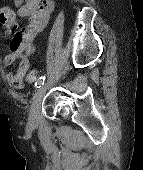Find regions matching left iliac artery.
<instances>
[{"label":"left iliac artery","instance_id":"44dca946","mask_svg":"<svg viewBox=\"0 0 143 170\" xmlns=\"http://www.w3.org/2000/svg\"><path fill=\"white\" fill-rule=\"evenodd\" d=\"M46 76H41L35 83L36 88H40L45 82Z\"/></svg>","mask_w":143,"mask_h":170}]
</instances>
